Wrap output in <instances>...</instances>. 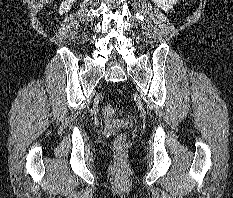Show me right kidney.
Wrapping results in <instances>:
<instances>
[{"mask_svg":"<svg viewBox=\"0 0 233 198\" xmlns=\"http://www.w3.org/2000/svg\"><path fill=\"white\" fill-rule=\"evenodd\" d=\"M76 0H65L61 3L60 8H59V13L63 14L65 12H68L70 8L72 7L73 2Z\"/></svg>","mask_w":233,"mask_h":198,"instance_id":"right-kidney-1","label":"right kidney"}]
</instances>
